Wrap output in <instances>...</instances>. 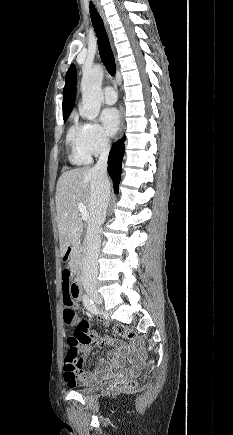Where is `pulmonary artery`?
Instances as JSON below:
<instances>
[{
	"instance_id": "obj_1",
	"label": "pulmonary artery",
	"mask_w": 233,
	"mask_h": 435,
	"mask_svg": "<svg viewBox=\"0 0 233 435\" xmlns=\"http://www.w3.org/2000/svg\"><path fill=\"white\" fill-rule=\"evenodd\" d=\"M103 96H104V101L107 104H114L116 102L117 99L116 92L110 86H106L103 89Z\"/></svg>"
}]
</instances>
